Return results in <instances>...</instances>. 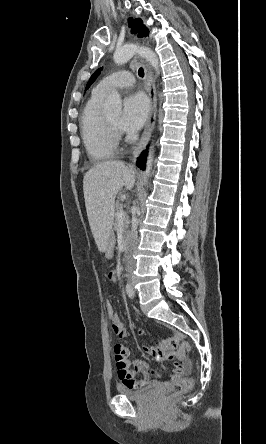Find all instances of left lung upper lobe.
Instances as JSON below:
<instances>
[{
    "mask_svg": "<svg viewBox=\"0 0 266 444\" xmlns=\"http://www.w3.org/2000/svg\"><path fill=\"white\" fill-rule=\"evenodd\" d=\"M129 25L131 26V32L136 34L139 33V37H144L148 35V29L143 25V22L141 19L137 18H129L128 19ZM102 68L96 70L94 74L91 76L90 80L87 83L86 89L90 87V85L96 80V78L100 75Z\"/></svg>",
    "mask_w": 266,
    "mask_h": 444,
    "instance_id": "1",
    "label": "left lung upper lobe"
}]
</instances>
